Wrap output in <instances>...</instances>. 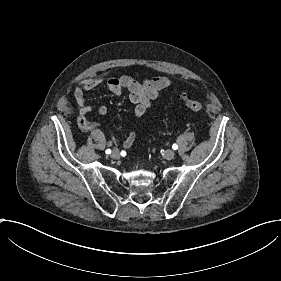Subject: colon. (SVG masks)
I'll list each match as a JSON object with an SVG mask.
<instances>
[{"instance_id":"obj_1","label":"colon","mask_w":281,"mask_h":281,"mask_svg":"<svg viewBox=\"0 0 281 281\" xmlns=\"http://www.w3.org/2000/svg\"><path fill=\"white\" fill-rule=\"evenodd\" d=\"M184 99L186 107L195 113H201L204 110V103L197 98H187L185 95L181 96Z\"/></svg>"}]
</instances>
